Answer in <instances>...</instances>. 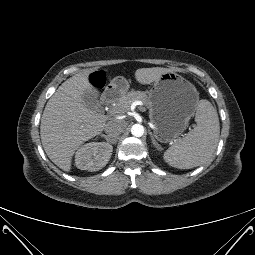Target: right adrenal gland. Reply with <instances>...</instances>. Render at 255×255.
I'll return each instance as SVG.
<instances>
[{"label":"right adrenal gland","instance_id":"right-adrenal-gland-1","mask_svg":"<svg viewBox=\"0 0 255 255\" xmlns=\"http://www.w3.org/2000/svg\"><path fill=\"white\" fill-rule=\"evenodd\" d=\"M101 137H103L107 141V143H112V141L110 140V138H108L107 135L102 134Z\"/></svg>","mask_w":255,"mask_h":255}]
</instances>
